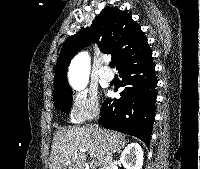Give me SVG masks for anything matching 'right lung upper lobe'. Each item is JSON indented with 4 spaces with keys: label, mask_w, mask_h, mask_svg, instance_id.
Here are the masks:
<instances>
[{
    "label": "right lung upper lobe",
    "mask_w": 200,
    "mask_h": 169,
    "mask_svg": "<svg viewBox=\"0 0 200 169\" xmlns=\"http://www.w3.org/2000/svg\"><path fill=\"white\" fill-rule=\"evenodd\" d=\"M93 41L100 50L109 53L119 70L124 65L151 53L147 37L130 14L107 7L95 18L92 25L82 28L64 42L56 64L54 95L72 92L67 82V69L71 59Z\"/></svg>",
    "instance_id": "obj_1"
}]
</instances>
